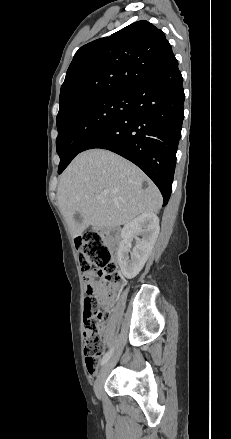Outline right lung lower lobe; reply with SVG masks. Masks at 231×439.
I'll return each mask as SVG.
<instances>
[{"mask_svg":"<svg viewBox=\"0 0 231 439\" xmlns=\"http://www.w3.org/2000/svg\"><path fill=\"white\" fill-rule=\"evenodd\" d=\"M176 61L133 94L131 109L102 129L81 152L102 148L140 167L157 185L166 205L172 189L185 99Z\"/></svg>","mask_w":231,"mask_h":439,"instance_id":"1","label":"right lung lower lobe"}]
</instances>
